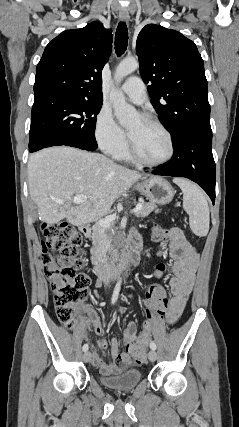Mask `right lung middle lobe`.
<instances>
[{
    "mask_svg": "<svg viewBox=\"0 0 239 427\" xmlns=\"http://www.w3.org/2000/svg\"><path fill=\"white\" fill-rule=\"evenodd\" d=\"M101 106L102 102L74 98L34 100L29 150L55 145L94 150L96 115Z\"/></svg>",
    "mask_w": 239,
    "mask_h": 427,
    "instance_id": "dd1d6c3e",
    "label": "right lung middle lobe"
}]
</instances>
